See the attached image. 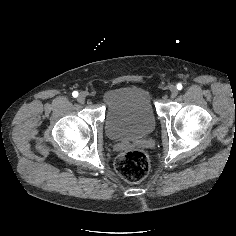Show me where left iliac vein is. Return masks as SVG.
<instances>
[{
    "instance_id": "1",
    "label": "left iliac vein",
    "mask_w": 236,
    "mask_h": 236,
    "mask_svg": "<svg viewBox=\"0 0 236 236\" xmlns=\"http://www.w3.org/2000/svg\"><path fill=\"white\" fill-rule=\"evenodd\" d=\"M169 91H170L171 97H176L178 94V90L174 85L169 86Z\"/></svg>"
}]
</instances>
